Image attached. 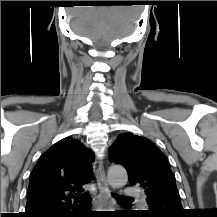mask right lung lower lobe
I'll list each match as a JSON object with an SVG mask.
<instances>
[{"mask_svg": "<svg viewBox=\"0 0 217 217\" xmlns=\"http://www.w3.org/2000/svg\"><path fill=\"white\" fill-rule=\"evenodd\" d=\"M82 215L81 214H77L76 212L75 213H65V214H62V215H58L57 217H81Z\"/></svg>", "mask_w": 217, "mask_h": 217, "instance_id": "98d812e1", "label": "right lung lower lobe"}]
</instances>
